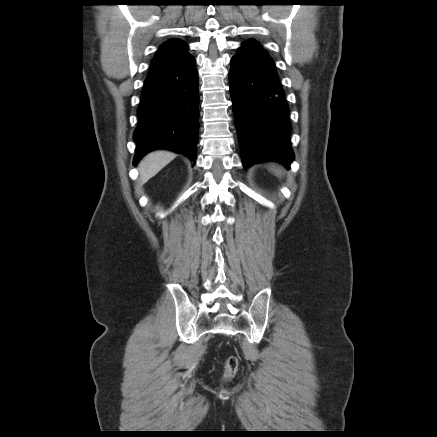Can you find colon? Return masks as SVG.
Segmentation results:
<instances>
[{"mask_svg":"<svg viewBox=\"0 0 437 437\" xmlns=\"http://www.w3.org/2000/svg\"><path fill=\"white\" fill-rule=\"evenodd\" d=\"M239 367V361L235 356H229L225 361V376L230 378L233 377Z\"/></svg>","mask_w":437,"mask_h":437,"instance_id":"obj_1","label":"colon"}]
</instances>
